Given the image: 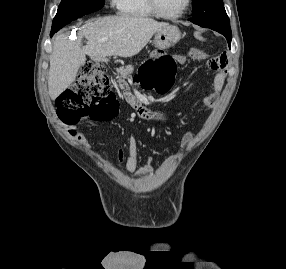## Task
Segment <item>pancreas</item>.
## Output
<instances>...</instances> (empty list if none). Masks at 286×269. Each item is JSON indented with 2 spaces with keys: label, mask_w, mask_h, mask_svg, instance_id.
I'll return each mask as SVG.
<instances>
[{
  "label": "pancreas",
  "mask_w": 286,
  "mask_h": 269,
  "mask_svg": "<svg viewBox=\"0 0 286 269\" xmlns=\"http://www.w3.org/2000/svg\"><path fill=\"white\" fill-rule=\"evenodd\" d=\"M117 73H118V76H117L118 81L117 82L119 83V85L122 88L125 89L123 92L124 95H130L129 86H128L127 82L125 81V79L133 73V66L128 65L125 67H120L117 70Z\"/></svg>",
  "instance_id": "obj_1"
}]
</instances>
